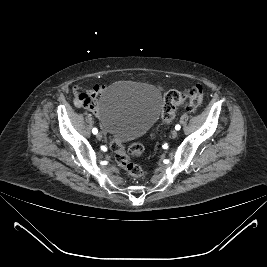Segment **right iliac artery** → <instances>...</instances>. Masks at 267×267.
<instances>
[{
    "instance_id": "82829eb1",
    "label": "right iliac artery",
    "mask_w": 267,
    "mask_h": 267,
    "mask_svg": "<svg viewBox=\"0 0 267 267\" xmlns=\"http://www.w3.org/2000/svg\"><path fill=\"white\" fill-rule=\"evenodd\" d=\"M92 132L93 134H97L98 130L96 128H93Z\"/></svg>"
}]
</instances>
